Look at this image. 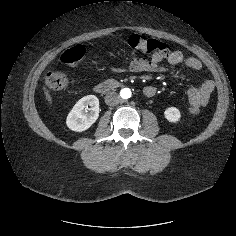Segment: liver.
Wrapping results in <instances>:
<instances>
[{
	"instance_id": "1",
	"label": "liver",
	"mask_w": 236,
	"mask_h": 236,
	"mask_svg": "<svg viewBox=\"0 0 236 236\" xmlns=\"http://www.w3.org/2000/svg\"><path fill=\"white\" fill-rule=\"evenodd\" d=\"M44 94L46 96V99L48 100L49 104H52V97L50 95V92L43 86Z\"/></svg>"
}]
</instances>
